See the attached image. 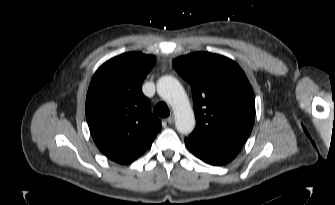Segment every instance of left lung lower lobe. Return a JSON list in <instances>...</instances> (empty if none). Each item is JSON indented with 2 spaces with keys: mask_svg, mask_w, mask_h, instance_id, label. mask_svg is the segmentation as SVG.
<instances>
[{
  "mask_svg": "<svg viewBox=\"0 0 335 205\" xmlns=\"http://www.w3.org/2000/svg\"><path fill=\"white\" fill-rule=\"evenodd\" d=\"M185 143L189 150L204 162L211 165H224L235 158L239 149L210 145L202 140L188 137Z\"/></svg>",
  "mask_w": 335,
  "mask_h": 205,
  "instance_id": "1",
  "label": "left lung lower lobe"
}]
</instances>
